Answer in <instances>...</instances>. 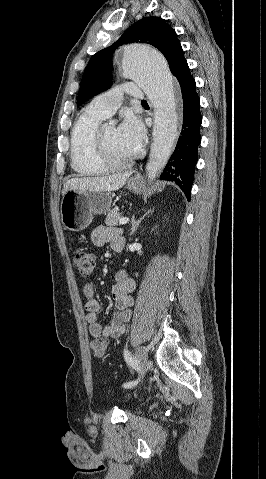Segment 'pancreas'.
<instances>
[{
	"mask_svg": "<svg viewBox=\"0 0 266 479\" xmlns=\"http://www.w3.org/2000/svg\"><path fill=\"white\" fill-rule=\"evenodd\" d=\"M120 219H121V214L118 212L117 209H113L108 213L105 220V224L107 226H115L118 224Z\"/></svg>",
	"mask_w": 266,
	"mask_h": 479,
	"instance_id": "obj_1",
	"label": "pancreas"
}]
</instances>
